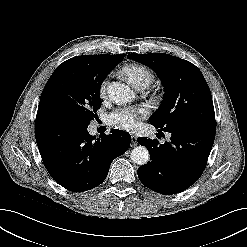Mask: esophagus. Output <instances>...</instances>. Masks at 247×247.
I'll return each instance as SVG.
<instances>
[{"label":"esophagus","mask_w":247,"mask_h":247,"mask_svg":"<svg viewBox=\"0 0 247 247\" xmlns=\"http://www.w3.org/2000/svg\"><path fill=\"white\" fill-rule=\"evenodd\" d=\"M131 142H132V146L137 145V136L136 135L131 134Z\"/></svg>","instance_id":"obj_1"}]
</instances>
